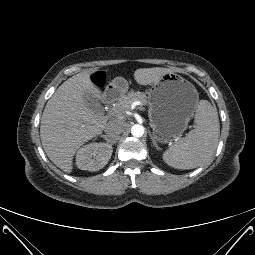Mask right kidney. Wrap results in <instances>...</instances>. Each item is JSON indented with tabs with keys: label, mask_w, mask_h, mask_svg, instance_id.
<instances>
[{
	"label": "right kidney",
	"mask_w": 255,
	"mask_h": 255,
	"mask_svg": "<svg viewBox=\"0 0 255 255\" xmlns=\"http://www.w3.org/2000/svg\"><path fill=\"white\" fill-rule=\"evenodd\" d=\"M112 152V146L105 143L87 144L77 151V167L81 170L98 171L108 163Z\"/></svg>",
	"instance_id": "right-kidney-1"
}]
</instances>
